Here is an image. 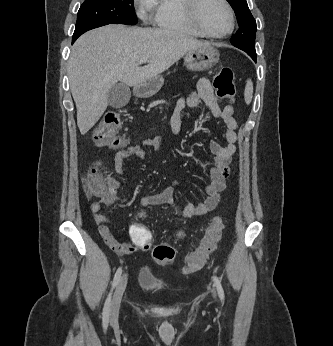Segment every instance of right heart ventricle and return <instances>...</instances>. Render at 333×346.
Wrapping results in <instances>:
<instances>
[{"mask_svg":"<svg viewBox=\"0 0 333 346\" xmlns=\"http://www.w3.org/2000/svg\"><path fill=\"white\" fill-rule=\"evenodd\" d=\"M154 21L164 30L200 36L188 20L183 0H159Z\"/></svg>","mask_w":333,"mask_h":346,"instance_id":"obj_1","label":"right heart ventricle"}]
</instances>
